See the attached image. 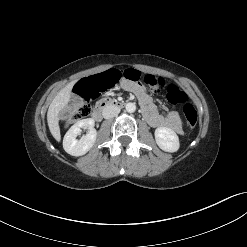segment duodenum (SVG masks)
<instances>
[{
	"instance_id": "1",
	"label": "duodenum",
	"mask_w": 247,
	"mask_h": 247,
	"mask_svg": "<svg viewBox=\"0 0 247 247\" xmlns=\"http://www.w3.org/2000/svg\"><path fill=\"white\" fill-rule=\"evenodd\" d=\"M124 105H125L124 101L105 99L96 106V108L92 113V118L95 121H100L103 118V113L107 108L109 107L122 108L124 107Z\"/></svg>"
}]
</instances>
